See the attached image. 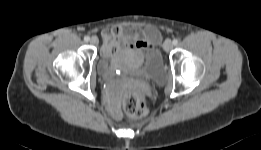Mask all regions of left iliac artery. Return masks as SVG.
<instances>
[{"instance_id": "obj_1", "label": "left iliac artery", "mask_w": 261, "mask_h": 150, "mask_svg": "<svg viewBox=\"0 0 261 150\" xmlns=\"http://www.w3.org/2000/svg\"><path fill=\"white\" fill-rule=\"evenodd\" d=\"M178 42H179V41H178L177 39H174V40H173V44H174V45H177Z\"/></svg>"}]
</instances>
